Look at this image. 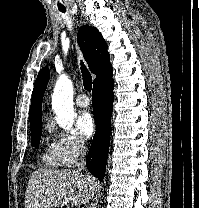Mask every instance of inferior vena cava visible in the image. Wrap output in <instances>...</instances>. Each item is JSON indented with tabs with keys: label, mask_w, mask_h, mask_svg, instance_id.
Listing matches in <instances>:
<instances>
[{
	"label": "inferior vena cava",
	"mask_w": 199,
	"mask_h": 208,
	"mask_svg": "<svg viewBox=\"0 0 199 208\" xmlns=\"http://www.w3.org/2000/svg\"><path fill=\"white\" fill-rule=\"evenodd\" d=\"M79 154H80V159L77 164L78 172L82 171L85 168L86 147L84 146L83 142L79 143Z\"/></svg>",
	"instance_id": "inferior-vena-cava-1"
}]
</instances>
